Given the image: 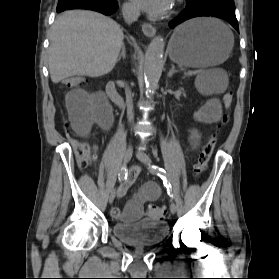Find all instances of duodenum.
Wrapping results in <instances>:
<instances>
[{"label":"duodenum","mask_w":279,"mask_h":279,"mask_svg":"<svg viewBox=\"0 0 279 279\" xmlns=\"http://www.w3.org/2000/svg\"><path fill=\"white\" fill-rule=\"evenodd\" d=\"M107 94L112 102L115 103L117 106L122 107L124 105V100L118 93L117 87L113 81H109L107 83Z\"/></svg>","instance_id":"1"}]
</instances>
